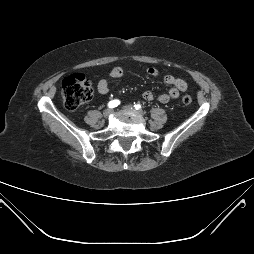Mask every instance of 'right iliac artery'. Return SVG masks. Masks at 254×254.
Wrapping results in <instances>:
<instances>
[{"label":"right iliac artery","instance_id":"1","mask_svg":"<svg viewBox=\"0 0 254 254\" xmlns=\"http://www.w3.org/2000/svg\"><path fill=\"white\" fill-rule=\"evenodd\" d=\"M120 104V101L119 100H112L108 103V107L109 108H114V107H117L118 105Z\"/></svg>","mask_w":254,"mask_h":254}]
</instances>
